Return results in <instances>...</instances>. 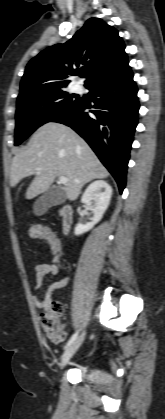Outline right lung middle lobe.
I'll return each instance as SVG.
<instances>
[{
	"label": "right lung middle lobe",
	"instance_id": "right-lung-middle-lobe-1",
	"mask_svg": "<svg viewBox=\"0 0 165 419\" xmlns=\"http://www.w3.org/2000/svg\"><path fill=\"white\" fill-rule=\"evenodd\" d=\"M80 101L65 88L37 93L17 102L15 146L41 125L72 110Z\"/></svg>",
	"mask_w": 165,
	"mask_h": 419
}]
</instances>
